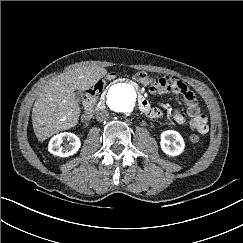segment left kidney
I'll return each mask as SVG.
<instances>
[{"instance_id": "obj_1", "label": "left kidney", "mask_w": 243, "mask_h": 243, "mask_svg": "<svg viewBox=\"0 0 243 243\" xmlns=\"http://www.w3.org/2000/svg\"><path fill=\"white\" fill-rule=\"evenodd\" d=\"M160 145L162 151L169 156L180 155L185 147L183 137L174 130H166L161 133Z\"/></svg>"}]
</instances>
